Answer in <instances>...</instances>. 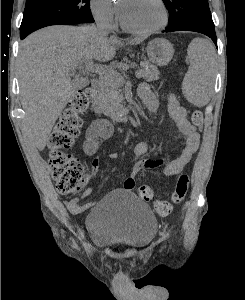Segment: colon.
<instances>
[{"label":"colon","mask_w":245,"mask_h":300,"mask_svg":"<svg viewBox=\"0 0 245 300\" xmlns=\"http://www.w3.org/2000/svg\"><path fill=\"white\" fill-rule=\"evenodd\" d=\"M91 96L90 89L75 93L69 105L60 114L49 137V163L52 177L56 182L58 192L62 195L77 194L89 180L82 163L68 153L67 149L72 146L79 133L82 115L87 111ZM192 122L196 127H202L203 114L201 111H195L192 114ZM188 187V175L181 174L176 181L171 201L159 200L155 203L157 213L161 216L169 215L173 211L174 205L184 200ZM138 195L142 200L149 201L153 197V189L149 185H141L138 188Z\"/></svg>","instance_id":"obj_1"}]
</instances>
